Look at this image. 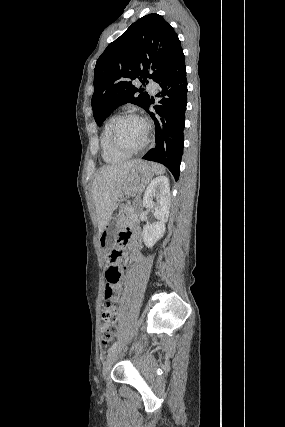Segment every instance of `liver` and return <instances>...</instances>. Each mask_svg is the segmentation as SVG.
Listing matches in <instances>:
<instances>
[{
    "instance_id": "1",
    "label": "liver",
    "mask_w": 285,
    "mask_h": 427,
    "mask_svg": "<svg viewBox=\"0 0 285 427\" xmlns=\"http://www.w3.org/2000/svg\"><path fill=\"white\" fill-rule=\"evenodd\" d=\"M140 161L134 160L123 164L102 168L94 179L92 197L95 205L99 235L108 224L123 187L133 166Z\"/></svg>"
}]
</instances>
